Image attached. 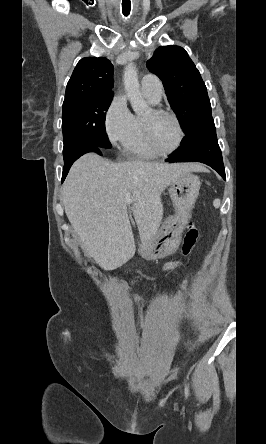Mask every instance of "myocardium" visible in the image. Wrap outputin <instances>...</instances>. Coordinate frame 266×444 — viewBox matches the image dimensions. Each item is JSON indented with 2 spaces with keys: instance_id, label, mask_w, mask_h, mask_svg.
<instances>
[{
  "instance_id": "myocardium-1",
  "label": "myocardium",
  "mask_w": 266,
  "mask_h": 444,
  "mask_svg": "<svg viewBox=\"0 0 266 444\" xmlns=\"http://www.w3.org/2000/svg\"><path fill=\"white\" fill-rule=\"evenodd\" d=\"M150 112H151L152 116L165 115V116L171 117L177 125L179 136H178L177 144L175 145L174 148H172L171 150H168V151H164V150L160 149L157 146L156 142L154 141V138L152 135L151 120L149 118L143 117V122H142L143 123V132H144V136H145L148 146L150 147L151 150H153L155 153H157L160 156H165V155H170V154L175 153L176 151H178L181 148V146L184 142V139H185V132H184V129H183V126H182V123H181L179 117L174 112L167 110V109H162V108H153L150 110Z\"/></svg>"
}]
</instances>
